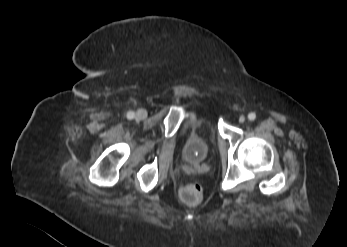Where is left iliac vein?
Masks as SVG:
<instances>
[{"instance_id": "left-iliac-vein-1", "label": "left iliac vein", "mask_w": 347, "mask_h": 247, "mask_svg": "<svg viewBox=\"0 0 347 247\" xmlns=\"http://www.w3.org/2000/svg\"><path fill=\"white\" fill-rule=\"evenodd\" d=\"M239 122L240 123H243V122H245V117L242 115V116H240V118H239Z\"/></svg>"}]
</instances>
